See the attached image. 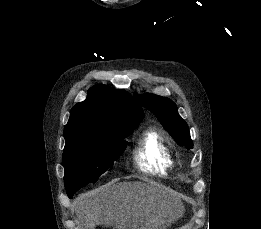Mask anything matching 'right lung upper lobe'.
Returning a JSON list of instances; mask_svg holds the SVG:
<instances>
[{"mask_svg": "<svg viewBox=\"0 0 261 229\" xmlns=\"http://www.w3.org/2000/svg\"><path fill=\"white\" fill-rule=\"evenodd\" d=\"M142 117V108L128 92L106 85L93 86L88 90L86 100L71 109L70 119L64 127L65 146L109 138L106 129L138 124Z\"/></svg>", "mask_w": 261, "mask_h": 229, "instance_id": "1", "label": "right lung upper lobe"}]
</instances>
